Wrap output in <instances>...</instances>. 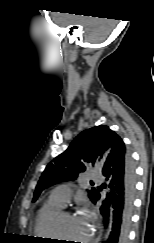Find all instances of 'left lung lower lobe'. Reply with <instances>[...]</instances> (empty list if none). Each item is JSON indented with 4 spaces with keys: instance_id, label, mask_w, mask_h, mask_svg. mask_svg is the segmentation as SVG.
Returning a JSON list of instances; mask_svg holds the SVG:
<instances>
[{
    "instance_id": "obj_1",
    "label": "left lung lower lobe",
    "mask_w": 154,
    "mask_h": 243,
    "mask_svg": "<svg viewBox=\"0 0 154 243\" xmlns=\"http://www.w3.org/2000/svg\"><path fill=\"white\" fill-rule=\"evenodd\" d=\"M106 183L102 188L109 191L100 208L105 226L110 223L109 238L103 243H127L131 224L135 195V168L126 148L115 156H108L102 168ZM98 188L92 202L95 204L101 197Z\"/></svg>"
}]
</instances>
